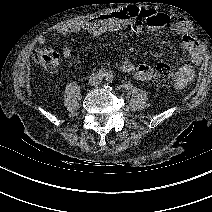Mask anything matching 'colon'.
I'll use <instances>...</instances> for the list:
<instances>
[{
    "mask_svg": "<svg viewBox=\"0 0 212 212\" xmlns=\"http://www.w3.org/2000/svg\"><path fill=\"white\" fill-rule=\"evenodd\" d=\"M34 59L47 71L55 72L59 67V54L50 49L37 50ZM154 82L159 86H170L174 82V72L170 65L159 63L155 67Z\"/></svg>",
    "mask_w": 212,
    "mask_h": 212,
    "instance_id": "5ec220e1",
    "label": "colon"
}]
</instances>
